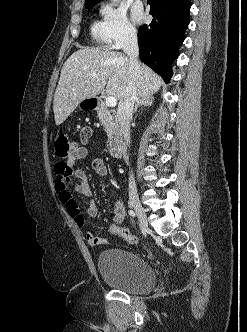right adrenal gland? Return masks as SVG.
I'll use <instances>...</instances> for the list:
<instances>
[{
    "instance_id": "2a0ac1e0",
    "label": "right adrenal gland",
    "mask_w": 247,
    "mask_h": 332,
    "mask_svg": "<svg viewBox=\"0 0 247 332\" xmlns=\"http://www.w3.org/2000/svg\"><path fill=\"white\" fill-rule=\"evenodd\" d=\"M154 97L150 96H141L136 100V104L133 110V113L137 112V109L142 106H151L153 104Z\"/></svg>"
}]
</instances>
